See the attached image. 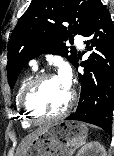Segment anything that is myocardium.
<instances>
[{"instance_id": "obj_1", "label": "myocardium", "mask_w": 114, "mask_h": 156, "mask_svg": "<svg viewBox=\"0 0 114 156\" xmlns=\"http://www.w3.org/2000/svg\"><path fill=\"white\" fill-rule=\"evenodd\" d=\"M53 77H56V76H55V74H53L51 72H42V73H39V74L33 76L31 78V80L27 83V85L25 86V88L21 94V97H20L21 109H22L24 115L26 116V118L31 123H41V122L61 119L69 113V111L71 110V108L74 104L75 94L73 91H69V99H68V102H67L65 108L61 112H59L55 115H51V116L38 115L29 107L28 100H29V97L32 94V92L38 87V85L41 82H43L44 80L53 78Z\"/></svg>"}]
</instances>
